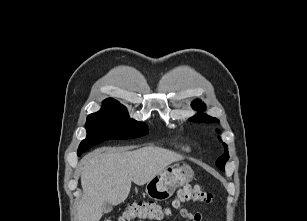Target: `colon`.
<instances>
[{"instance_id": "1", "label": "colon", "mask_w": 307, "mask_h": 221, "mask_svg": "<svg viewBox=\"0 0 307 221\" xmlns=\"http://www.w3.org/2000/svg\"><path fill=\"white\" fill-rule=\"evenodd\" d=\"M213 200L211 193L200 186L181 187L172 201V207L178 208L183 203L209 204ZM170 214V208L154 201H137L126 205L117 219L105 221H160Z\"/></svg>"}]
</instances>
